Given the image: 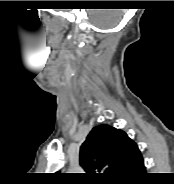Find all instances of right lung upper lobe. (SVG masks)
I'll return each instance as SVG.
<instances>
[{
  "mask_svg": "<svg viewBox=\"0 0 174 184\" xmlns=\"http://www.w3.org/2000/svg\"><path fill=\"white\" fill-rule=\"evenodd\" d=\"M141 157L124 131L106 124L94 127L80 148V165L90 182H117Z\"/></svg>",
  "mask_w": 174,
  "mask_h": 184,
  "instance_id": "cb5924a9",
  "label": "right lung upper lobe"
}]
</instances>
